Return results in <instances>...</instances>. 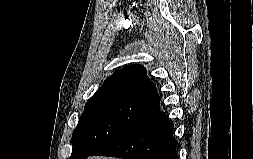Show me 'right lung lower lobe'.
I'll return each instance as SVG.
<instances>
[{"mask_svg": "<svg viewBox=\"0 0 253 159\" xmlns=\"http://www.w3.org/2000/svg\"><path fill=\"white\" fill-rule=\"evenodd\" d=\"M174 125L158 107L132 128L99 146L91 155L123 159H179Z\"/></svg>", "mask_w": 253, "mask_h": 159, "instance_id": "98d812e1", "label": "right lung lower lobe"}]
</instances>
